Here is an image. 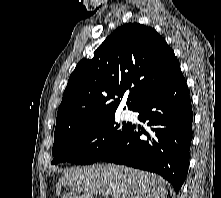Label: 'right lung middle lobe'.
<instances>
[{
  "label": "right lung middle lobe",
  "instance_id": "dd1d6c3e",
  "mask_svg": "<svg viewBox=\"0 0 221 198\" xmlns=\"http://www.w3.org/2000/svg\"><path fill=\"white\" fill-rule=\"evenodd\" d=\"M114 115L101 118L77 131L54 138L52 164L70 162L79 165L97 161L124 138L130 123L118 124Z\"/></svg>",
  "mask_w": 221,
  "mask_h": 198
}]
</instances>
